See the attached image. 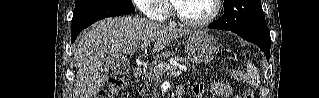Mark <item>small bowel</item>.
<instances>
[{
    "label": "small bowel",
    "instance_id": "1",
    "mask_svg": "<svg viewBox=\"0 0 319 98\" xmlns=\"http://www.w3.org/2000/svg\"><path fill=\"white\" fill-rule=\"evenodd\" d=\"M190 86H191L192 91L196 97H198V98L203 97L204 92H205V88L203 85L198 84V83H191ZM210 89L214 94H216L219 97L239 98V96L233 95L232 87L224 82H220V81L213 82L210 86Z\"/></svg>",
    "mask_w": 319,
    "mask_h": 98
}]
</instances>
